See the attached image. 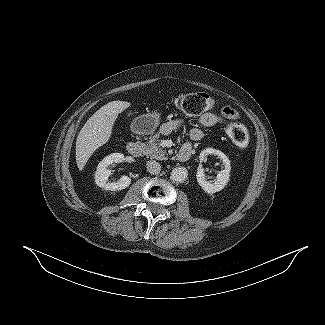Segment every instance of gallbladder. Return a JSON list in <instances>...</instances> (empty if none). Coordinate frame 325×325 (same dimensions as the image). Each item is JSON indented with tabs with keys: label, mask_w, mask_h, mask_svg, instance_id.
Listing matches in <instances>:
<instances>
[{
	"label": "gallbladder",
	"mask_w": 325,
	"mask_h": 325,
	"mask_svg": "<svg viewBox=\"0 0 325 325\" xmlns=\"http://www.w3.org/2000/svg\"><path fill=\"white\" fill-rule=\"evenodd\" d=\"M132 113L130 112V113H128V115H131Z\"/></svg>",
	"instance_id": "gallbladder-1"
}]
</instances>
